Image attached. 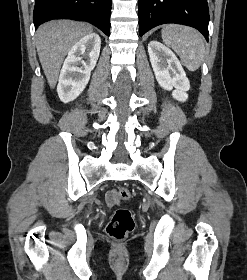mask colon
I'll list each match as a JSON object with an SVG mask.
<instances>
[{
  "label": "colon",
  "mask_w": 247,
  "mask_h": 280,
  "mask_svg": "<svg viewBox=\"0 0 247 280\" xmlns=\"http://www.w3.org/2000/svg\"><path fill=\"white\" fill-rule=\"evenodd\" d=\"M131 194L127 188L121 187L114 190V198L118 201H126ZM135 221L132 211L126 208H118L114 211L106 226L108 236L115 240L125 239L134 229Z\"/></svg>",
  "instance_id": "1"
}]
</instances>
